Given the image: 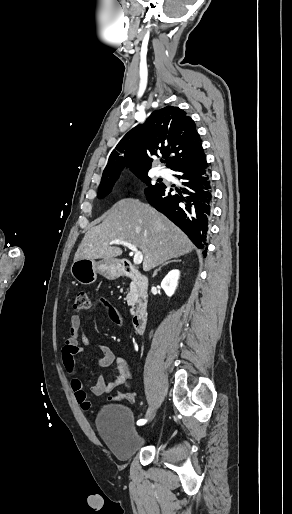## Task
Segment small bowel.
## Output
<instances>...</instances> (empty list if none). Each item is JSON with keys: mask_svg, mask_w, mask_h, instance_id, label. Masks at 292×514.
<instances>
[{"mask_svg": "<svg viewBox=\"0 0 292 514\" xmlns=\"http://www.w3.org/2000/svg\"><path fill=\"white\" fill-rule=\"evenodd\" d=\"M93 307L103 308L110 318L117 323L124 325L122 317L119 315L116 307L103 296H99L94 300ZM81 318L79 315H72L69 321V337L65 340L61 358L66 371L72 375L70 386L75 393L78 403L81 405L83 412L91 411V403L88 393L85 389L83 381L76 376L75 356L84 353L86 347L91 345L87 335L81 333ZM97 348L101 352V356L96 357V363L100 367H108L113 363L116 364L118 375L110 382H106L102 376H97L94 385L89 388V391L97 397L106 395L113 391L120 385L125 384L132 378V371L130 365L124 357H116L114 351L106 344H97ZM136 396L134 391H114L111 395L106 397V404H110L112 400L118 402L125 400L130 404L135 405L136 401L133 398Z\"/></svg>", "mask_w": 292, "mask_h": 514, "instance_id": "obj_1", "label": "small bowel"}]
</instances>
